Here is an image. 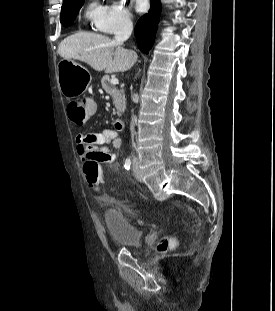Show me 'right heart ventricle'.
Here are the masks:
<instances>
[{"mask_svg":"<svg viewBox=\"0 0 275 311\" xmlns=\"http://www.w3.org/2000/svg\"><path fill=\"white\" fill-rule=\"evenodd\" d=\"M103 10L104 6L98 0H89L84 10L85 21L95 25L98 18L102 15Z\"/></svg>","mask_w":275,"mask_h":311,"instance_id":"right-heart-ventricle-1","label":"right heart ventricle"}]
</instances>
